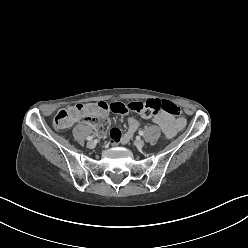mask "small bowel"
Listing matches in <instances>:
<instances>
[{
    "instance_id": "small-bowel-1",
    "label": "small bowel",
    "mask_w": 248,
    "mask_h": 248,
    "mask_svg": "<svg viewBox=\"0 0 248 248\" xmlns=\"http://www.w3.org/2000/svg\"><path fill=\"white\" fill-rule=\"evenodd\" d=\"M135 119V118H134ZM139 124L140 121L135 119ZM152 121L160 127L167 139L173 138L185 126L183 117H172L166 113L152 117ZM137 130L131 128L128 124V129L124 134H121L118 127H113L110 130V141L113 145L128 142Z\"/></svg>"
}]
</instances>
